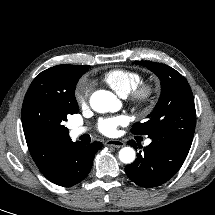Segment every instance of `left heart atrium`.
Wrapping results in <instances>:
<instances>
[{
  "instance_id": "left-heart-atrium-1",
  "label": "left heart atrium",
  "mask_w": 215,
  "mask_h": 215,
  "mask_svg": "<svg viewBox=\"0 0 215 215\" xmlns=\"http://www.w3.org/2000/svg\"><path fill=\"white\" fill-rule=\"evenodd\" d=\"M126 121L127 120L125 116L103 118L99 120L98 129L106 136H113L116 134L117 128L120 125H124Z\"/></svg>"
}]
</instances>
